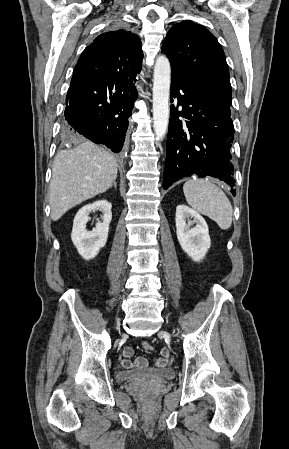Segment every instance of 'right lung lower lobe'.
I'll return each mask as SVG.
<instances>
[{"instance_id":"obj_1","label":"right lung lower lobe","mask_w":289,"mask_h":449,"mask_svg":"<svg viewBox=\"0 0 289 449\" xmlns=\"http://www.w3.org/2000/svg\"><path fill=\"white\" fill-rule=\"evenodd\" d=\"M135 82L136 78L94 82L72 78L66 96L65 132L120 152L138 96Z\"/></svg>"}]
</instances>
